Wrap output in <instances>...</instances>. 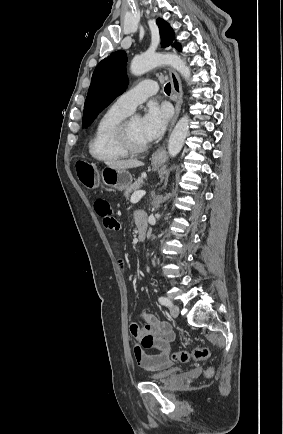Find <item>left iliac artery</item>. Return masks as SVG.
I'll return each instance as SVG.
<instances>
[{"label": "left iliac artery", "mask_w": 283, "mask_h": 434, "mask_svg": "<svg viewBox=\"0 0 283 434\" xmlns=\"http://www.w3.org/2000/svg\"><path fill=\"white\" fill-rule=\"evenodd\" d=\"M158 301H159L160 304H162L164 306H168V307L172 306L171 301L168 298L164 297V296L159 297Z\"/></svg>", "instance_id": "obj_1"}]
</instances>
